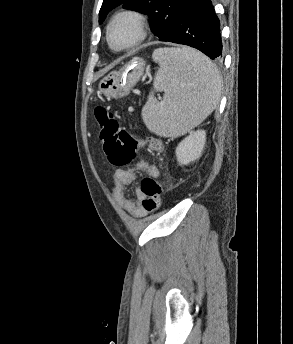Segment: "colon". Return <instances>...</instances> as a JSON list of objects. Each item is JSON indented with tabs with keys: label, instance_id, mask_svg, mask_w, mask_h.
<instances>
[{
	"label": "colon",
	"instance_id": "5ec220e1",
	"mask_svg": "<svg viewBox=\"0 0 293 344\" xmlns=\"http://www.w3.org/2000/svg\"><path fill=\"white\" fill-rule=\"evenodd\" d=\"M94 116L99 125L103 151L112 166L121 168L129 165L135 158L136 149L141 143L146 145L151 154H158L163 151V144L160 139L149 136L142 141L128 130L121 129L114 112L110 109L96 106ZM140 189L144 195L141 206L145 213L157 211L162 204L160 181L150 176L145 177L141 181Z\"/></svg>",
	"mask_w": 293,
	"mask_h": 344
}]
</instances>
